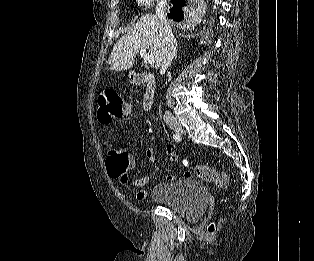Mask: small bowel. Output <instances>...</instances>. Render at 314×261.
I'll list each match as a JSON object with an SVG mask.
<instances>
[{
    "mask_svg": "<svg viewBox=\"0 0 314 261\" xmlns=\"http://www.w3.org/2000/svg\"><path fill=\"white\" fill-rule=\"evenodd\" d=\"M165 152H166L167 156L169 157L170 161L174 162L177 160V156L175 154V150H174L173 145L168 144L165 148ZM145 155L149 161H151L153 164H156L157 159H156V155H155V152H154L152 147H148L146 149ZM129 160H130V167H134L136 165V160H135L134 156L129 154ZM153 175H154V172L150 175L143 176L141 178H137V179L133 180L132 185L136 188H142L150 182ZM167 179L173 180L174 176L169 175V176H167ZM147 195H148V192L144 189H141L136 193V198L138 200H144L147 197Z\"/></svg>",
    "mask_w": 314,
    "mask_h": 261,
    "instance_id": "obj_1",
    "label": "small bowel"
}]
</instances>
